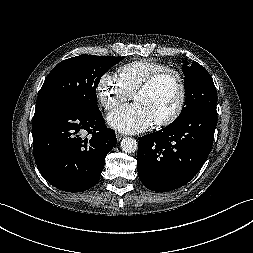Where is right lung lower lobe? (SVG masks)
<instances>
[{
	"mask_svg": "<svg viewBox=\"0 0 253 253\" xmlns=\"http://www.w3.org/2000/svg\"><path fill=\"white\" fill-rule=\"evenodd\" d=\"M32 131L40 173L66 192L94 186L106 155L117 144L115 132L106 127L99 109L81 111L64 104H44L35 109Z\"/></svg>",
	"mask_w": 253,
	"mask_h": 253,
	"instance_id": "right-lung-lower-lobe-1",
	"label": "right lung lower lobe"
}]
</instances>
